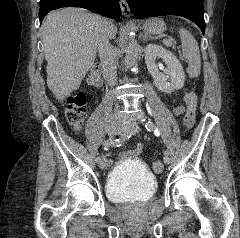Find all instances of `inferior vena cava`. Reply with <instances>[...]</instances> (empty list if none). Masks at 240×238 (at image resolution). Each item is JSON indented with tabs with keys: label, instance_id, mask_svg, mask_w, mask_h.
I'll return each instance as SVG.
<instances>
[{
	"label": "inferior vena cava",
	"instance_id": "602c4592",
	"mask_svg": "<svg viewBox=\"0 0 240 238\" xmlns=\"http://www.w3.org/2000/svg\"><path fill=\"white\" fill-rule=\"evenodd\" d=\"M100 33L97 41V50L100 57V66L103 71L104 77L110 86H114L117 80V67H116V55L113 47L109 43L108 29L110 22L106 19L100 18L97 21ZM116 118H120L122 115L119 111V105H115Z\"/></svg>",
	"mask_w": 240,
	"mask_h": 238
}]
</instances>
